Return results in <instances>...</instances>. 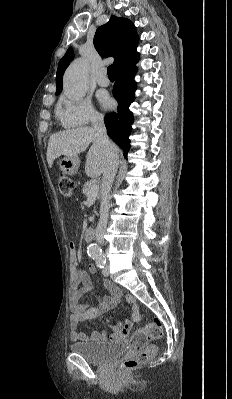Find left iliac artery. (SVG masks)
Returning <instances> with one entry per match:
<instances>
[{
	"label": "left iliac artery",
	"mask_w": 232,
	"mask_h": 399,
	"mask_svg": "<svg viewBox=\"0 0 232 399\" xmlns=\"http://www.w3.org/2000/svg\"><path fill=\"white\" fill-rule=\"evenodd\" d=\"M96 263L100 268H104L106 264V259L102 254L95 255Z\"/></svg>",
	"instance_id": "left-iliac-artery-1"
}]
</instances>
